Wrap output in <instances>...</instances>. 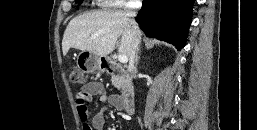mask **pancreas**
<instances>
[{"instance_id": "cf45deb5", "label": "pancreas", "mask_w": 257, "mask_h": 130, "mask_svg": "<svg viewBox=\"0 0 257 130\" xmlns=\"http://www.w3.org/2000/svg\"><path fill=\"white\" fill-rule=\"evenodd\" d=\"M111 82L116 88L120 89L123 85V78L120 76H112Z\"/></svg>"}]
</instances>
